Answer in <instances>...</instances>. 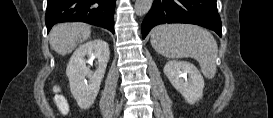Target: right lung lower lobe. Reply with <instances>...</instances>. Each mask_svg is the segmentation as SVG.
Wrapping results in <instances>:
<instances>
[{"mask_svg": "<svg viewBox=\"0 0 273 118\" xmlns=\"http://www.w3.org/2000/svg\"><path fill=\"white\" fill-rule=\"evenodd\" d=\"M116 0H48L45 15L47 32L58 22L81 21L114 33Z\"/></svg>", "mask_w": 273, "mask_h": 118, "instance_id": "obj_1", "label": "right lung lower lobe"}]
</instances>
